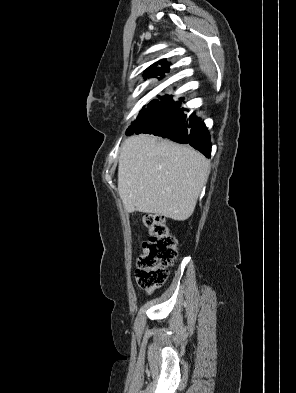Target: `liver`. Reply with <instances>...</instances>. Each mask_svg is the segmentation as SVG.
Wrapping results in <instances>:
<instances>
[{
    "instance_id": "obj_1",
    "label": "liver",
    "mask_w": 296,
    "mask_h": 393,
    "mask_svg": "<svg viewBox=\"0 0 296 393\" xmlns=\"http://www.w3.org/2000/svg\"><path fill=\"white\" fill-rule=\"evenodd\" d=\"M209 173L210 162L191 147L142 134L121 146L118 192L128 212L184 221L193 214Z\"/></svg>"
}]
</instances>
